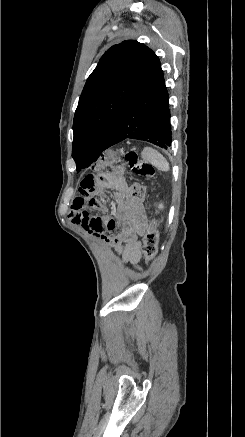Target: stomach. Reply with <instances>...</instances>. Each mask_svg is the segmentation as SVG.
Listing matches in <instances>:
<instances>
[{
	"mask_svg": "<svg viewBox=\"0 0 245 437\" xmlns=\"http://www.w3.org/2000/svg\"><path fill=\"white\" fill-rule=\"evenodd\" d=\"M124 171H125L124 166H119V167H117L115 173L119 174V175H122L124 173Z\"/></svg>",
	"mask_w": 245,
	"mask_h": 437,
	"instance_id": "1",
	"label": "stomach"
}]
</instances>
